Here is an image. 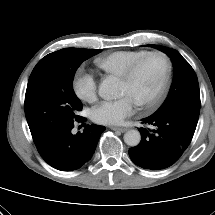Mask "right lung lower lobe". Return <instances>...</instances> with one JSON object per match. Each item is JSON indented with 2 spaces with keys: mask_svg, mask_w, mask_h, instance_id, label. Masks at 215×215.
<instances>
[{
  "mask_svg": "<svg viewBox=\"0 0 215 215\" xmlns=\"http://www.w3.org/2000/svg\"><path fill=\"white\" fill-rule=\"evenodd\" d=\"M77 122L85 121L79 117ZM74 124L53 132L43 140L36 142L42 158L52 167L61 171H73L87 163L105 130L104 126L87 125L83 133L72 134Z\"/></svg>",
  "mask_w": 215,
  "mask_h": 215,
  "instance_id": "98d812e1",
  "label": "right lung lower lobe"
}]
</instances>
